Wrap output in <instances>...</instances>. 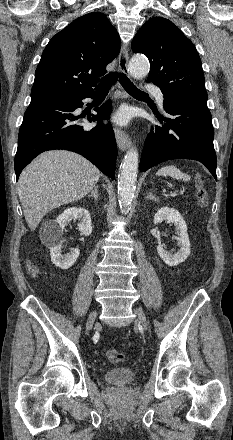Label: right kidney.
I'll use <instances>...</instances> for the list:
<instances>
[{
  "instance_id": "1",
  "label": "right kidney",
  "mask_w": 233,
  "mask_h": 440,
  "mask_svg": "<svg viewBox=\"0 0 233 440\" xmlns=\"http://www.w3.org/2000/svg\"><path fill=\"white\" fill-rule=\"evenodd\" d=\"M79 220V231L89 236L92 233L91 217L88 210L84 208L70 207L60 214L56 220H49L43 226V243L50 249L51 261L55 266L66 270L77 260L80 251L75 248L71 254L62 255V234L65 226L71 220Z\"/></svg>"
}]
</instances>
